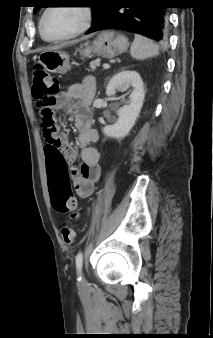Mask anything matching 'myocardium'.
<instances>
[{"label": "myocardium", "instance_id": "f54148a6", "mask_svg": "<svg viewBox=\"0 0 213 338\" xmlns=\"http://www.w3.org/2000/svg\"><path fill=\"white\" fill-rule=\"evenodd\" d=\"M77 6L78 7H76V8H79L83 13V22H82L81 26L77 30H75L74 32H72L68 35H65V36H62V37H59V38H54V39H48L44 36V34H43V24H44V20H45L46 15L52 9H54L56 7L50 6V7L46 8L45 11L42 13L40 21H39V33L41 35V38L46 42L58 43V42H62V41H66V40H69V39L76 38V37L82 35L83 33H85L90 28L91 23H92V18H93L92 9L88 6H86V5H83V4H79Z\"/></svg>", "mask_w": 213, "mask_h": 338}]
</instances>
